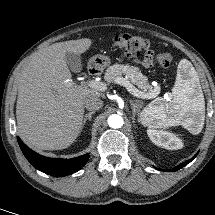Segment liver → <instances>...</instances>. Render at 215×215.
I'll return each mask as SVG.
<instances>
[{
    "label": "liver",
    "instance_id": "obj_1",
    "mask_svg": "<svg viewBox=\"0 0 215 215\" xmlns=\"http://www.w3.org/2000/svg\"><path fill=\"white\" fill-rule=\"evenodd\" d=\"M91 40L82 38L52 44L35 52L18 77L16 118L19 133L40 150L70 146L83 125L84 99L97 90L70 82L66 53L82 54Z\"/></svg>",
    "mask_w": 215,
    "mask_h": 215
}]
</instances>
